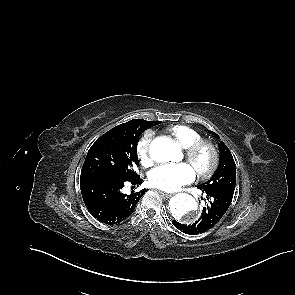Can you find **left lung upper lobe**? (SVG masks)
Returning <instances> with one entry per match:
<instances>
[{
  "label": "left lung upper lobe",
  "mask_w": 295,
  "mask_h": 295,
  "mask_svg": "<svg viewBox=\"0 0 295 295\" xmlns=\"http://www.w3.org/2000/svg\"><path fill=\"white\" fill-rule=\"evenodd\" d=\"M216 138H219L216 135ZM220 162L217 170L210 180L198 187L207 190L224 189L234 192L236 185V165L229 148L223 143H219Z\"/></svg>",
  "instance_id": "1"
}]
</instances>
